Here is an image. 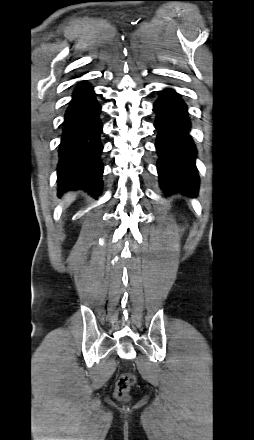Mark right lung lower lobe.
<instances>
[{
	"instance_id": "98d812e1",
	"label": "right lung lower lobe",
	"mask_w": 254,
	"mask_h": 440,
	"mask_svg": "<svg viewBox=\"0 0 254 440\" xmlns=\"http://www.w3.org/2000/svg\"><path fill=\"white\" fill-rule=\"evenodd\" d=\"M100 105L87 82L78 83L65 113L59 145L58 196L72 189L92 194L102 190Z\"/></svg>"
}]
</instances>
